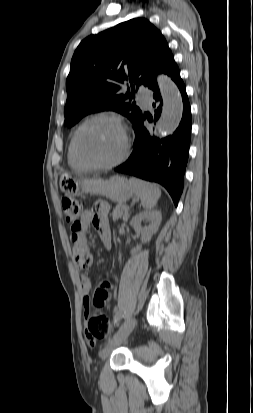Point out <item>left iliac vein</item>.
Returning <instances> with one entry per match:
<instances>
[{
    "label": "left iliac vein",
    "instance_id": "1",
    "mask_svg": "<svg viewBox=\"0 0 253 413\" xmlns=\"http://www.w3.org/2000/svg\"><path fill=\"white\" fill-rule=\"evenodd\" d=\"M136 324V318L129 319L122 324V326L118 329L113 338L105 345V347L101 351L100 357L102 360L107 359L110 356L111 352L116 347H118L122 342H124V340L135 328Z\"/></svg>",
    "mask_w": 253,
    "mask_h": 413
}]
</instances>
